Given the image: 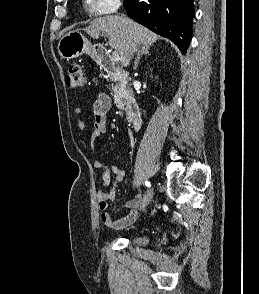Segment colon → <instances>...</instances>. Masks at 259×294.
Masks as SVG:
<instances>
[{
    "label": "colon",
    "mask_w": 259,
    "mask_h": 294,
    "mask_svg": "<svg viewBox=\"0 0 259 294\" xmlns=\"http://www.w3.org/2000/svg\"><path fill=\"white\" fill-rule=\"evenodd\" d=\"M66 85L70 89H80L86 85V76L81 65L74 63L70 65L65 77ZM152 214L156 210H152Z\"/></svg>",
    "instance_id": "1"
}]
</instances>
